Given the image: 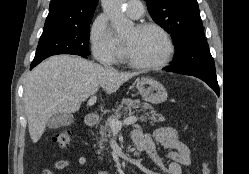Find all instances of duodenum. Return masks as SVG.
Listing matches in <instances>:
<instances>
[{"instance_id": "1", "label": "duodenum", "mask_w": 249, "mask_h": 174, "mask_svg": "<svg viewBox=\"0 0 249 174\" xmlns=\"http://www.w3.org/2000/svg\"><path fill=\"white\" fill-rule=\"evenodd\" d=\"M85 124L88 127H94L97 124V117L94 114H88L85 118ZM138 153L143 151L144 145L142 143L136 144Z\"/></svg>"}]
</instances>
